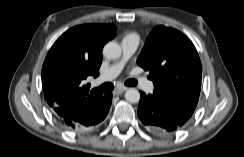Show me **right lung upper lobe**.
<instances>
[{"mask_svg":"<svg viewBox=\"0 0 244 157\" xmlns=\"http://www.w3.org/2000/svg\"><path fill=\"white\" fill-rule=\"evenodd\" d=\"M114 24L75 26L61 35L49 50L42 67L44 97L55 115L66 118L103 99L89 94L83 82L98 76L104 44L116 36Z\"/></svg>","mask_w":244,"mask_h":157,"instance_id":"cb5924a9","label":"right lung upper lobe"}]
</instances>
